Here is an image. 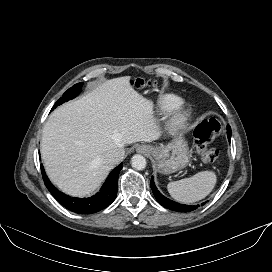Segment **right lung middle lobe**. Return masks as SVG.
<instances>
[{
  "label": "right lung middle lobe",
  "mask_w": 272,
  "mask_h": 272,
  "mask_svg": "<svg viewBox=\"0 0 272 272\" xmlns=\"http://www.w3.org/2000/svg\"><path fill=\"white\" fill-rule=\"evenodd\" d=\"M83 83H77L73 87L69 88L63 96L55 103L52 110L56 108L58 105L75 98L80 92L82 88Z\"/></svg>",
  "instance_id": "right-lung-middle-lobe-1"
}]
</instances>
